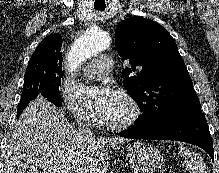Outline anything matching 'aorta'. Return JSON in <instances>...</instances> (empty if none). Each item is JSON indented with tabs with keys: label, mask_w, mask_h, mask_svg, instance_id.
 Instances as JSON below:
<instances>
[{
	"label": "aorta",
	"mask_w": 219,
	"mask_h": 173,
	"mask_svg": "<svg viewBox=\"0 0 219 173\" xmlns=\"http://www.w3.org/2000/svg\"><path fill=\"white\" fill-rule=\"evenodd\" d=\"M111 45L110 36L103 30L91 28L78 37L67 54L68 68L75 71L77 67L87 59L107 50ZM78 94L90 93L91 89L82 84L76 86Z\"/></svg>",
	"instance_id": "obj_1"
}]
</instances>
